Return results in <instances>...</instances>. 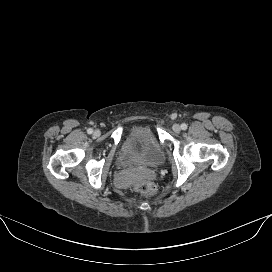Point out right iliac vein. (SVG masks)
<instances>
[{
    "mask_svg": "<svg viewBox=\"0 0 272 272\" xmlns=\"http://www.w3.org/2000/svg\"><path fill=\"white\" fill-rule=\"evenodd\" d=\"M100 134H101L100 130H95L94 131V136L98 137V136H100Z\"/></svg>",
    "mask_w": 272,
    "mask_h": 272,
    "instance_id": "right-iliac-vein-1",
    "label": "right iliac vein"
}]
</instances>
